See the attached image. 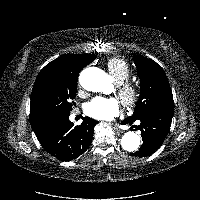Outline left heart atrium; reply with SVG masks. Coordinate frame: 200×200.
<instances>
[{"label": "left heart atrium", "mask_w": 200, "mask_h": 200, "mask_svg": "<svg viewBox=\"0 0 200 200\" xmlns=\"http://www.w3.org/2000/svg\"><path fill=\"white\" fill-rule=\"evenodd\" d=\"M85 112L97 120H112L120 112V103L113 97H95L86 105Z\"/></svg>", "instance_id": "39dd6f15"}]
</instances>
